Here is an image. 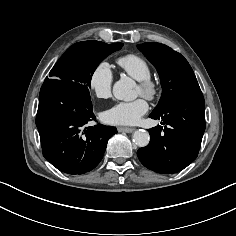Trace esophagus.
<instances>
[{
    "label": "esophagus",
    "instance_id": "1",
    "mask_svg": "<svg viewBox=\"0 0 236 236\" xmlns=\"http://www.w3.org/2000/svg\"><path fill=\"white\" fill-rule=\"evenodd\" d=\"M117 130H118L119 132L131 133L132 131H134V128H130V127H118Z\"/></svg>",
    "mask_w": 236,
    "mask_h": 236
}]
</instances>
